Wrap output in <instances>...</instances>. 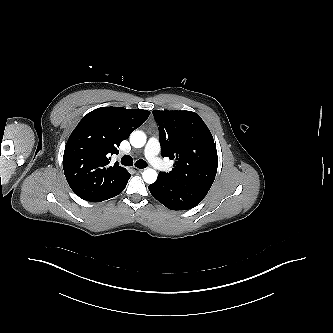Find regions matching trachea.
<instances>
[{
    "label": "trachea",
    "instance_id": "obj_1",
    "mask_svg": "<svg viewBox=\"0 0 333 333\" xmlns=\"http://www.w3.org/2000/svg\"><path fill=\"white\" fill-rule=\"evenodd\" d=\"M121 164L124 166H132L133 165L132 157L129 155L123 156L121 158ZM135 166L139 169H143L147 167V163L144 160L139 159L138 161L135 162Z\"/></svg>",
    "mask_w": 333,
    "mask_h": 333
}]
</instances>
